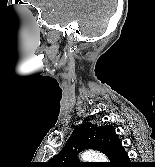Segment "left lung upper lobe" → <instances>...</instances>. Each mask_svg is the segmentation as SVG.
<instances>
[{"label": "left lung upper lobe", "mask_w": 155, "mask_h": 167, "mask_svg": "<svg viewBox=\"0 0 155 167\" xmlns=\"http://www.w3.org/2000/svg\"><path fill=\"white\" fill-rule=\"evenodd\" d=\"M120 143L112 125L97 126L85 122L73 130L63 149L47 163V167H89V163L77 161L79 152L98 150L110 160Z\"/></svg>", "instance_id": "1"}]
</instances>
